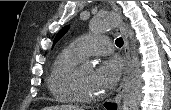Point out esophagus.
I'll use <instances>...</instances> for the list:
<instances>
[{"label":"esophagus","mask_w":171,"mask_h":110,"mask_svg":"<svg viewBox=\"0 0 171 110\" xmlns=\"http://www.w3.org/2000/svg\"><path fill=\"white\" fill-rule=\"evenodd\" d=\"M110 3H111L112 8L114 9V11L119 12L118 5L114 1H110ZM118 30L124 35L125 59H126V65L128 66L129 60H130V49H129L128 39L121 27H118ZM124 88H125V83H124V79H123V81L121 82V84L118 88L117 94H116L114 100L112 101V103L116 104L118 107L120 106L121 99L123 97Z\"/></svg>","instance_id":"1"}]
</instances>
